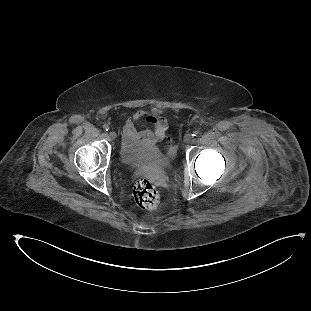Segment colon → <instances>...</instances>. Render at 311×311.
<instances>
[{
	"label": "colon",
	"instance_id": "colon-1",
	"mask_svg": "<svg viewBox=\"0 0 311 311\" xmlns=\"http://www.w3.org/2000/svg\"><path fill=\"white\" fill-rule=\"evenodd\" d=\"M172 153V145L165 148ZM134 199L138 206L144 210H154L160 204V194L156 187L146 178H139L133 187Z\"/></svg>",
	"mask_w": 311,
	"mask_h": 311
}]
</instances>
